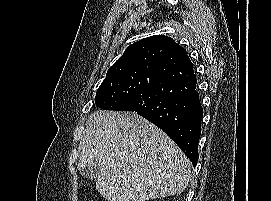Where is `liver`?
Returning <instances> with one entry per match:
<instances>
[{
    "label": "liver",
    "instance_id": "liver-1",
    "mask_svg": "<svg viewBox=\"0 0 271 201\" xmlns=\"http://www.w3.org/2000/svg\"><path fill=\"white\" fill-rule=\"evenodd\" d=\"M78 170L95 166L108 201H146L181 194L190 162L160 128L131 112L97 111L87 120Z\"/></svg>",
    "mask_w": 271,
    "mask_h": 201
}]
</instances>
